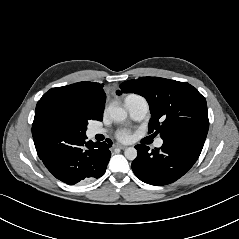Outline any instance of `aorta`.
<instances>
[{
  "label": "aorta",
  "mask_w": 239,
  "mask_h": 239,
  "mask_svg": "<svg viewBox=\"0 0 239 239\" xmlns=\"http://www.w3.org/2000/svg\"><path fill=\"white\" fill-rule=\"evenodd\" d=\"M109 116L115 122H122L127 118V112L122 107L111 106ZM124 155L128 160L133 161L137 157V150L134 147H128L125 149Z\"/></svg>",
  "instance_id": "1"
}]
</instances>
